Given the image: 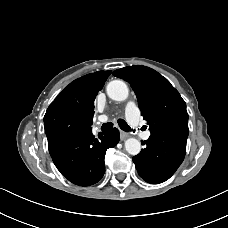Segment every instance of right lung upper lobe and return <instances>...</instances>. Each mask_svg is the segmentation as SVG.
I'll return each instance as SVG.
<instances>
[{"label": "right lung upper lobe", "instance_id": "1", "mask_svg": "<svg viewBox=\"0 0 228 228\" xmlns=\"http://www.w3.org/2000/svg\"><path fill=\"white\" fill-rule=\"evenodd\" d=\"M111 71H99L82 76L71 82L50 104L47 111L68 110L81 116L92 129L94 100Z\"/></svg>", "mask_w": 228, "mask_h": 228}]
</instances>
